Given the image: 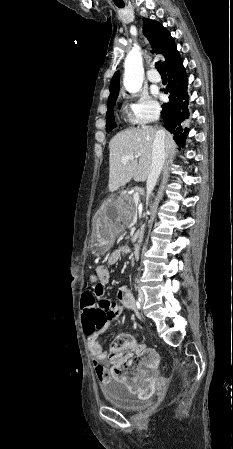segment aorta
Listing matches in <instances>:
<instances>
[{
    "mask_svg": "<svg viewBox=\"0 0 233 449\" xmlns=\"http://www.w3.org/2000/svg\"><path fill=\"white\" fill-rule=\"evenodd\" d=\"M124 69V87L130 93L138 92L144 80L142 56L138 48H133L128 53L125 59Z\"/></svg>",
    "mask_w": 233,
    "mask_h": 449,
    "instance_id": "aorta-1",
    "label": "aorta"
}]
</instances>
